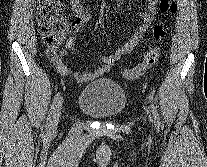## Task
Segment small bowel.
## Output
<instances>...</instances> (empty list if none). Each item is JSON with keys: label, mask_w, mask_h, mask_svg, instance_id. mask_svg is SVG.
Listing matches in <instances>:
<instances>
[{"label": "small bowel", "mask_w": 207, "mask_h": 167, "mask_svg": "<svg viewBox=\"0 0 207 167\" xmlns=\"http://www.w3.org/2000/svg\"><path fill=\"white\" fill-rule=\"evenodd\" d=\"M69 2L76 17L75 20L69 25V30L72 35L67 40L65 48L60 50L59 46L65 38L63 33L59 44L56 46H49L47 53L50 61L57 68L60 74L72 76L78 82L84 83L93 81L105 75L116 65L118 60L132 52V50L138 45L139 41L142 39L152 24L153 17L156 13L158 0H147L145 11L139 13L140 25L130 36V38L112 53L99 56L98 60L101 62V66L89 72H83L79 68L67 66L62 61V57L69 55L70 51L74 49L78 32L82 29L85 23L92 19L91 14L83 7L81 0H69Z\"/></svg>", "instance_id": "obj_1"}]
</instances>
